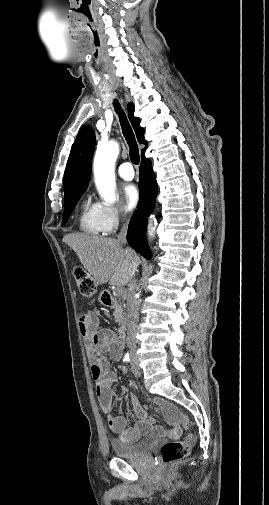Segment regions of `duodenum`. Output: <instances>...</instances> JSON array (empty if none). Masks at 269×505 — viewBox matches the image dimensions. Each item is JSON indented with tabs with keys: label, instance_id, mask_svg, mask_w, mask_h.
I'll return each instance as SVG.
<instances>
[{
	"label": "duodenum",
	"instance_id": "410a0bca",
	"mask_svg": "<svg viewBox=\"0 0 269 505\" xmlns=\"http://www.w3.org/2000/svg\"><path fill=\"white\" fill-rule=\"evenodd\" d=\"M101 301L106 307L112 308L116 306V300L109 292H103L101 294ZM116 339L119 345L123 347L126 340V324L124 322L121 323L117 330Z\"/></svg>",
	"mask_w": 269,
	"mask_h": 505
}]
</instances>
